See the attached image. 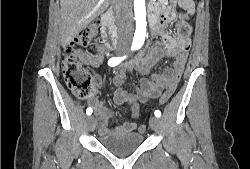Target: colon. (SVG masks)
Wrapping results in <instances>:
<instances>
[{
    "label": "colon",
    "instance_id": "colon-1",
    "mask_svg": "<svg viewBox=\"0 0 250 169\" xmlns=\"http://www.w3.org/2000/svg\"><path fill=\"white\" fill-rule=\"evenodd\" d=\"M181 6L186 10L193 9V3L189 0L182 1ZM98 29V25L94 24L87 30L82 31L80 34H75V38L67 43L62 50L61 65L64 81L71 92L81 99L92 97L94 95V88L89 72L83 67L77 56L76 47L91 46L98 33ZM180 32L183 35L189 32V27L185 22L180 24ZM171 84L172 85H169L167 89H164V92L162 93L163 97L159 99V104H166V102L169 100L168 97H171V94H173L174 83L172 82ZM133 106L136 113L135 115L139 116L140 114L136 110L139 109V104H134ZM145 130L146 126H140V132H144Z\"/></svg>",
    "mask_w": 250,
    "mask_h": 169
}]
</instances>
